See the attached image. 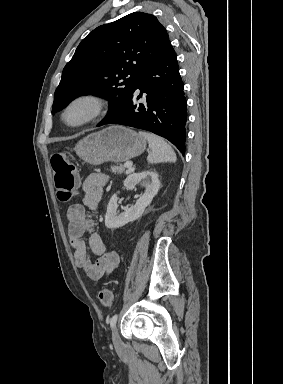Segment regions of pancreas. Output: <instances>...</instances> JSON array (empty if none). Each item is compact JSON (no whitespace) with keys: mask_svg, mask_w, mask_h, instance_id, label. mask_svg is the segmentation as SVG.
<instances>
[{"mask_svg":"<svg viewBox=\"0 0 283 384\" xmlns=\"http://www.w3.org/2000/svg\"><path fill=\"white\" fill-rule=\"evenodd\" d=\"M111 170L113 174H123L125 172L126 168L122 166V164H117V166H111Z\"/></svg>","mask_w":283,"mask_h":384,"instance_id":"cf45deb5","label":"pancreas"}]
</instances>
